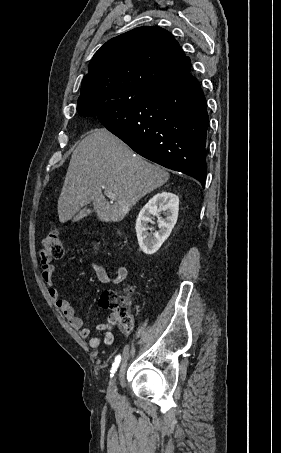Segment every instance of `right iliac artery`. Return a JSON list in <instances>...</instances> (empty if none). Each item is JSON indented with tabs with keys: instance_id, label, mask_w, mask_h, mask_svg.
<instances>
[{
	"instance_id": "right-iliac-artery-1",
	"label": "right iliac artery",
	"mask_w": 281,
	"mask_h": 453,
	"mask_svg": "<svg viewBox=\"0 0 281 453\" xmlns=\"http://www.w3.org/2000/svg\"><path fill=\"white\" fill-rule=\"evenodd\" d=\"M120 361H121V356L120 355L116 356L115 361L112 364V369L110 370V372L112 373L111 376H113L114 373L116 372V370L120 364Z\"/></svg>"
}]
</instances>
